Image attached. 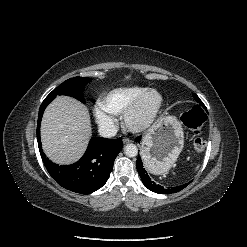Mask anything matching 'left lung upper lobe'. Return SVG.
<instances>
[{
  "instance_id": "5c2ea615",
  "label": "left lung upper lobe",
  "mask_w": 247,
  "mask_h": 247,
  "mask_svg": "<svg viewBox=\"0 0 247 247\" xmlns=\"http://www.w3.org/2000/svg\"><path fill=\"white\" fill-rule=\"evenodd\" d=\"M193 95H194L195 100H196L200 105L204 106L203 103H202V101L199 99V97H198L196 94H193Z\"/></svg>"
}]
</instances>
